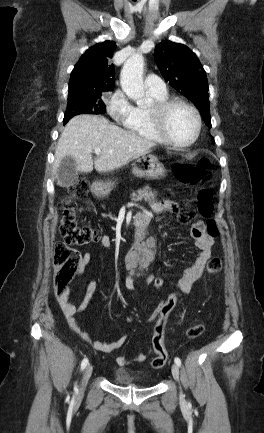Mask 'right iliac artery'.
Segmentation results:
<instances>
[{
  "label": "right iliac artery",
  "instance_id": "1",
  "mask_svg": "<svg viewBox=\"0 0 264 433\" xmlns=\"http://www.w3.org/2000/svg\"><path fill=\"white\" fill-rule=\"evenodd\" d=\"M87 364H88V359L84 358L83 361H82V363H81V370H84L85 367L87 366ZM76 390H77V386L75 385L74 391H76Z\"/></svg>",
  "mask_w": 264,
  "mask_h": 433
}]
</instances>
